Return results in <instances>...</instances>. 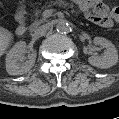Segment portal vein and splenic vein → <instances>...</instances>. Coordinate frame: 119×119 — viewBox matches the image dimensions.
Segmentation results:
<instances>
[{"mask_svg": "<svg viewBox=\"0 0 119 119\" xmlns=\"http://www.w3.org/2000/svg\"><path fill=\"white\" fill-rule=\"evenodd\" d=\"M53 12H54L53 9L45 10V11L43 12V16H44V17H50Z\"/></svg>", "mask_w": 119, "mask_h": 119, "instance_id": "1", "label": "portal vein and splenic vein"}]
</instances>
